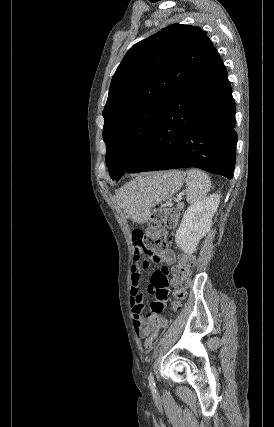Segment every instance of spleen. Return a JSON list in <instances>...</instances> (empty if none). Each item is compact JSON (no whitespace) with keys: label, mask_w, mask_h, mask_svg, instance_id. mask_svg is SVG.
<instances>
[{"label":"spleen","mask_w":274,"mask_h":427,"mask_svg":"<svg viewBox=\"0 0 274 427\" xmlns=\"http://www.w3.org/2000/svg\"><path fill=\"white\" fill-rule=\"evenodd\" d=\"M186 178V200L188 204H198L210 192V180L200 170H188Z\"/></svg>","instance_id":"spleen-1"}]
</instances>
